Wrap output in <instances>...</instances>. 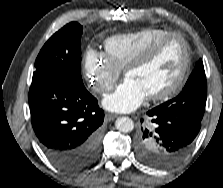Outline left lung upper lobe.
Instances as JSON below:
<instances>
[{
    "mask_svg": "<svg viewBox=\"0 0 223 188\" xmlns=\"http://www.w3.org/2000/svg\"><path fill=\"white\" fill-rule=\"evenodd\" d=\"M206 98V76L203 62L200 59L181 93L159 105L158 108L169 115L187 117L201 122L205 111Z\"/></svg>",
    "mask_w": 223,
    "mask_h": 188,
    "instance_id": "5c2ea615",
    "label": "left lung upper lobe"
}]
</instances>
